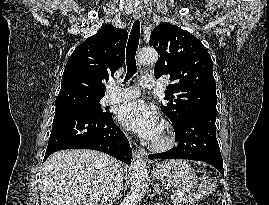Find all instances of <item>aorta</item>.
Returning <instances> with one entry per match:
<instances>
[{"label": "aorta", "instance_id": "aorta-1", "mask_svg": "<svg viewBox=\"0 0 269 205\" xmlns=\"http://www.w3.org/2000/svg\"><path fill=\"white\" fill-rule=\"evenodd\" d=\"M138 59L142 64H155L158 60V54L152 48H145L139 52ZM133 155L131 187L121 205H137L144 196L148 186V171L146 163L136 152Z\"/></svg>", "mask_w": 269, "mask_h": 205}]
</instances>
